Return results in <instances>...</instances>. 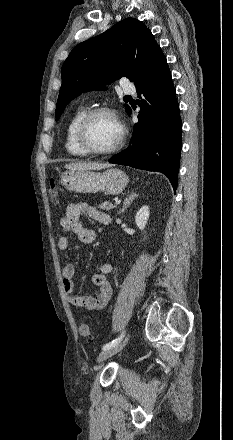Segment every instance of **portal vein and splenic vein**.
I'll return each mask as SVG.
<instances>
[{"mask_svg":"<svg viewBox=\"0 0 233 440\" xmlns=\"http://www.w3.org/2000/svg\"><path fill=\"white\" fill-rule=\"evenodd\" d=\"M120 202H121L120 200H117V201H115V204H116V205H119Z\"/></svg>","mask_w":233,"mask_h":440,"instance_id":"1","label":"portal vein and splenic vein"}]
</instances>
